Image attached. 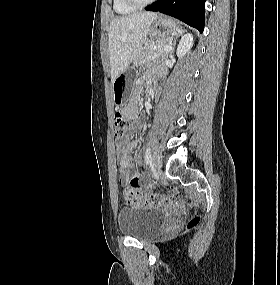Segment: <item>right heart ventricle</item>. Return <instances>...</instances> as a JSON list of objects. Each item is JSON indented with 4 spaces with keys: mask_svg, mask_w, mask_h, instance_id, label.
Listing matches in <instances>:
<instances>
[{
    "mask_svg": "<svg viewBox=\"0 0 280 285\" xmlns=\"http://www.w3.org/2000/svg\"><path fill=\"white\" fill-rule=\"evenodd\" d=\"M113 9L117 14L126 15L134 12L135 7H131L124 0H113Z\"/></svg>",
    "mask_w": 280,
    "mask_h": 285,
    "instance_id": "1",
    "label": "right heart ventricle"
}]
</instances>
